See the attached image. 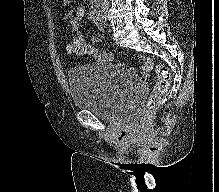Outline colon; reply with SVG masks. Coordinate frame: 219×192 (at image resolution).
Masks as SVG:
<instances>
[{
    "mask_svg": "<svg viewBox=\"0 0 219 192\" xmlns=\"http://www.w3.org/2000/svg\"><path fill=\"white\" fill-rule=\"evenodd\" d=\"M69 50L77 55L97 56L100 54L96 48L86 43L82 38H75L70 44ZM102 57L106 62L112 60V57L109 54H102ZM155 73L158 80L154 88V93L147 100L145 110L137 121V124L141 127L148 125L151 117L157 110L159 96L166 93L170 86L171 74L167 67L156 65Z\"/></svg>",
    "mask_w": 219,
    "mask_h": 192,
    "instance_id": "colon-1",
    "label": "colon"
}]
</instances>
